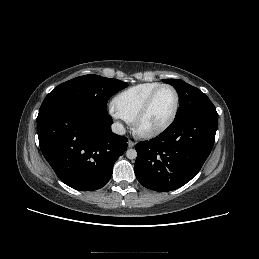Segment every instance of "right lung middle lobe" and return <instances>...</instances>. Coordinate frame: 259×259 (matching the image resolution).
Wrapping results in <instances>:
<instances>
[{
    "mask_svg": "<svg viewBox=\"0 0 259 259\" xmlns=\"http://www.w3.org/2000/svg\"><path fill=\"white\" fill-rule=\"evenodd\" d=\"M128 84L99 75H85L64 82L54 88L44 99L39 114L61 105H80L90 110L107 113V102L112 95Z\"/></svg>",
    "mask_w": 259,
    "mask_h": 259,
    "instance_id": "right-lung-middle-lobe-1",
    "label": "right lung middle lobe"
}]
</instances>
